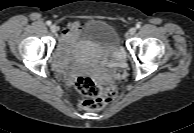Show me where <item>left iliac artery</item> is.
Masks as SVG:
<instances>
[{
	"label": "left iliac artery",
	"instance_id": "obj_1",
	"mask_svg": "<svg viewBox=\"0 0 194 133\" xmlns=\"http://www.w3.org/2000/svg\"><path fill=\"white\" fill-rule=\"evenodd\" d=\"M140 27H141L140 23H137V24H136V28L139 29Z\"/></svg>",
	"mask_w": 194,
	"mask_h": 133
}]
</instances>
